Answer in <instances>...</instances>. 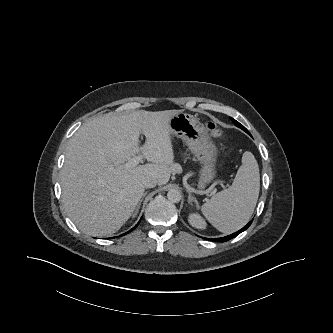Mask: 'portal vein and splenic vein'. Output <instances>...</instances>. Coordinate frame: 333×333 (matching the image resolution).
<instances>
[{
    "mask_svg": "<svg viewBox=\"0 0 333 333\" xmlns=\"http://www.w3.org/2000/svg\"><path fill=\"white\" fill-rule=\"evenodd\" d=\"M143 160V155H137V156H134L133 158H131L127 163L126 165L128 167H134V166H137L140 162H142Z\"/></svg>",
    "mask_w": 333,
    "mask_h": 333,
    "instance_id": "1",
    "label": "portal vein and splenic vein"
}]
</instances>
